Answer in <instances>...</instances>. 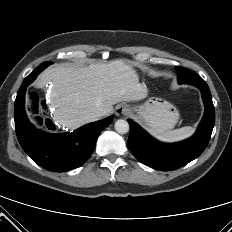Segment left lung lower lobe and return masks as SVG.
<instances>
[{"instance_id": "0a47b994", "label": "left lung lower lobe", "mask_w": 232, "mask_h": 232, "mask_svg": "<svg viewBox=\"0 0 232 232\" xmlns=\"http://www.w3.org/2000/svg\"><path fill=\"white\" fill-rule=\"evenodd\" d=\"M184 70L187 77L183 83L198 87L205 104L204 117L193 137L176 144H164L153 139L135 122L128 119L130 125L128 145L131 152L141 163L161 171L178 169L201 155L210 140L215 124V110L208 85L196 73Z\"/></svg>"}]
</instances>
